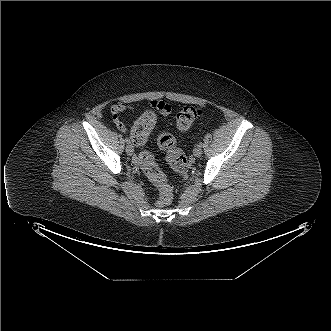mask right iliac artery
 <instances>
[{
	"mask_svg": "<svg viewBox=\"0 0 331 331\" xmlns=\"http://www.w3.org/2000/svg\"><path fill=\"white\" fill-rule=\"evenodd\" d=\"M125 142H126L127 144H130V139H129V138H125Z\"/></svg>",
	"mask_w": 331,
	"mask_h": 331,
	"instance_id": "82829eb1",
	"label": "right iliac artery"
}]
</instances>
